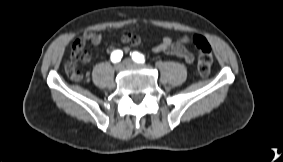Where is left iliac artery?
<instances>
[{"mask_svg":"<svg viewBox=\"0 0 283 162\" xmlns=\"http://www.w3.org/2000/svg\"><path fill=\"white\" fill-rule=\"evenodd\" d=\"M132 59L137 62V63H143L145 61V58L142 54H140L139 52L134 51L132 54Z\"/></svg>","mask_w":283,"mask_h":162,"instance_id":"44dca946","label":"left iliac artery"}]
</instances>
